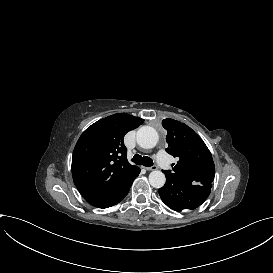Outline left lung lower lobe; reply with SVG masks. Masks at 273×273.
Wrapping results in <instances>:
<instances>
[{"mask_svg": "<svg viewBox=\"0 0 273 273\" xmlns=\"http://www.w3.org/2000/svg\"><path fill=\"white\" fill-rule=\"evenodd\" d=\"M210 189L211 185L193 184L166 175V183L158 192L169 208L181 212L199 207L209 196Z\"/></svg>", "mask_w": 273, "mask_h": 273, "instance_id": "1", "label": "left lung lower lobe"}]
</instances>
